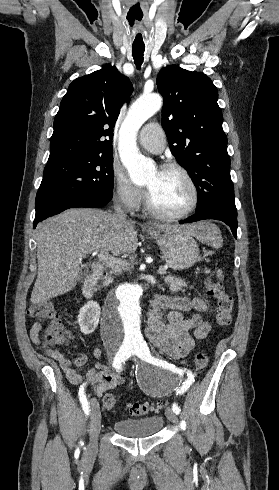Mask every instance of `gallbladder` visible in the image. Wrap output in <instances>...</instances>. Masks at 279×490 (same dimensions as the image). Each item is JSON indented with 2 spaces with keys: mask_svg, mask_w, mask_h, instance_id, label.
<instances>
[{
  "mask_svg": "<svg viewBox=\"0 0 279 490\" xmlns=\"http://www.w3.org/2000/svg\"><path fill=\"white\" fill-rule=\"evenodd\" d=\"M86 276H90V272H89L88 268H82L81 278H86Z\"/></svg>",
  "mask_w": 279,
  "mask_h": 490,
  "instance_id": "obj_1",
  "label": "gallbladder"
}]
</instances>
